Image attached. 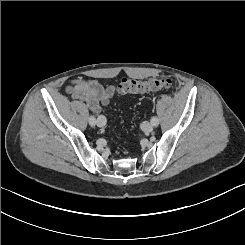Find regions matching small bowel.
I'll list each match as a JSON object with an SVG mask.
<instances>
[{"mask_svg":"<svg viewBox=\"0 0 245 245\" xmlns=\"http://www.w3.org/2000/svg\"><path fill=\"white\" fill-rule=\"evenodd\" d=\"M68 93L85 103L88 109L99 114L115 96V87L103 86L97 80H75L68 86Z\"/></svg>","mask_w":245,"mask_h":245,"instance_id":"small-bowel-1","label":"small bowel"}]
</instances>
